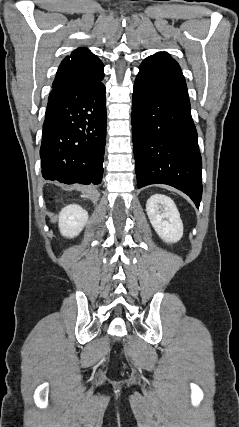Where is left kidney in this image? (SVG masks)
<instances>
[{
    "mask_svg": "<svg viewBox=\"0 0 239 427\" xmlns=\"http://www.w3.org/2000/svg\"><path fill=\"white\" fill-rule=\"evenodd\" d=\"M148 218L159 235L167 243H175L183 236V223L173 200L165 195H152L146 203Z\"/></svg>",
    "mask_w": 239,
    "mask_h": 427,
    "instance_id": "left-kidney-1",
    "label": "left kidney"
}]
</instances>
